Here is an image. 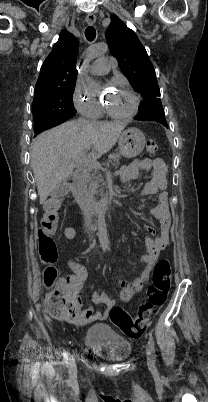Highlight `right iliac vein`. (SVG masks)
Segmentation results:
<instances>
[{
    "label": "right iliac vein",
    "mask_w": 208,
    "mask_h": 402,
    "mask_svg": "<svg viewBox=\"0 0 208 402\" xmlns=\"http://www.w3.org/2000/svg\"><path fill=\"white\" fill-rule=\"evenodd\" d=\"M68 365H69V369H70L71 372H75V371H76V363H75V360H74L73 358L70 359Z\"/></svg>",
    "instance_id": "right-iliac-vein-1"
}]
</instances>
